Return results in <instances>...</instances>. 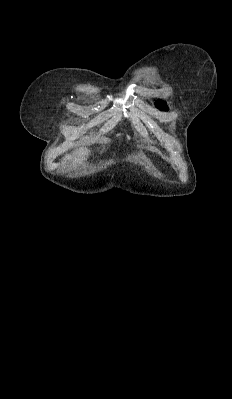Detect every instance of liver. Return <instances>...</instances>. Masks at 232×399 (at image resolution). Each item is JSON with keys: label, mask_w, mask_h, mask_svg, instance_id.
<instances>
[{"label": "liver", "mask_w": 232, "mask_h": 399, "mask_svg": "<svg viewBox=\"0 0 232 399\" xmlns=\"http://www.w3.org/2000/svg\"><path fill=\"white\" fill-rule=\"evenodd\" d=\"M90 152L91 150H88V148H78L73 154H66L62 160V164H71V166L83 164L84 160H87V156H89Z\"/></svg>", "instance_id": "1"}]
</instances>
